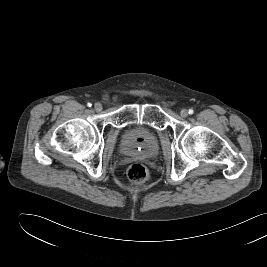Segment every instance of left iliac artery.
<instances>
[{"label":"left iliac artery","mask_w":267,"mask_h":267,"mask_svg":"<svg viewBox=\"0 0 267 267\" xmlns=\"http://www.w3.org/2000/svg\"><path fill=\"white\" fill-rule=\"evenodd\" d=\"M189 114H193L194 113V110L193 109H189Z\"/></svg>","instance_id":"44dca946"}]
</instances>
